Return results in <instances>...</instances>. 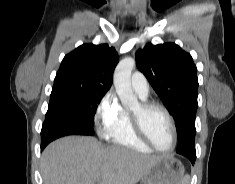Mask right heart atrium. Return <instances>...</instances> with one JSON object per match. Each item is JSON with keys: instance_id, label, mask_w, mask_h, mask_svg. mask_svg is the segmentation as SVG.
<instances>
[{"instance_id": "right-heart-atrium-1", "label": "right heart atrium", "mask_w": 235, "mask_h": 184, "mask_svg": "<svg viewBox=\"0 0 235 184\" xmlns=\"http://www.w3.org/2000/svg\"><path fill=\"white\" fill-rule=\"evenodd\" d=\"M125 117V110L114 91H108L99 101L92 116L96 134L101 139L113 137Z\"/></svg>"}]
</instances>
